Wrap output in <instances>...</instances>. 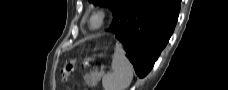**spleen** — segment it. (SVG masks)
Masks as SVG:
<instances>
[{
  "mask_svg": "<svg viewBox=\"0 0 228 90\" xmlns=\"http://www.w3.org/2000/svg\"><path fill=\"white\" fill-rule=\"evenodd\" d=\"M111 65L113 71L102 80L104 90H126L133 78V66L119 43H116Z\"/></svg>",
  "mask_w": 228,
  "mask_h": 90,
  "instance_id": "1",
  "label": "spleen"
}]
</instances>
